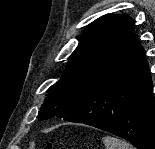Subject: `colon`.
<instances>
[{"label": "colon", "mask_w": 155, "mask_h": 149, "mask_svg": "<svg viewBox=\"0 0 155 149\" xmlns=\"http://www.w3.org/2000/svg\"><path fill=\"white\" fill-rule=\"evenodd\" d=\"M44 149H53V145L48 143L44 146Z\"/></svg>", "instance_id": "obj_1"}]
</instances>
